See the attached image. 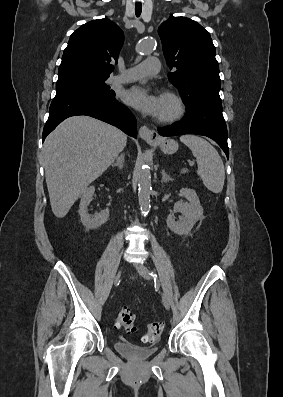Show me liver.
Segmentation results:
<instances>
[{
  "mask_svg": "<svg viewBox=\"0 0 283 397\" xmlns=\"http://www.w3.org/2000/svg\"><path fill=\"white\" fill-rule=\"evenodd\" d=\"M126 140L116 127L89 116L70 117L49 134L43 160L56 217L66 216L85 188L118 157Z\"/></svg>",
  "mask_w": 283,
  "mask_h": 397,
  "instance_id": "liver-1",
  "label": "liver"
}]
</instances>
